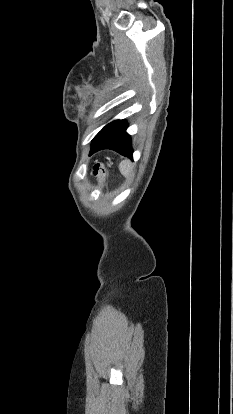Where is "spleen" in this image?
<instances>
[{
	"mask_svg": "<svg viewBox=\"0 0 233 414\" xmlns=\"http://www.w3.org/2000/svg\"><path fill=\"white\" fill-rule=\"evenodd\" d=\"M120 171L122 172V174H124L125 176H129L132 172V167L129 163V161H125L122 162L120 164Z\"/></svg>",
	"mask_w": 233,
	"mask_h": 414,
	"instance_id": "1",
	"label": "spleen"
}]
</instances>
